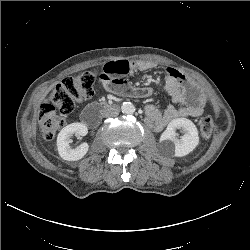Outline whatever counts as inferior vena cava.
Returning <instances> with one entry per match:
<instances>
[{"label": "inferior vena cava", "mask_w": 250, "mask_h": 250, "mask_svg": "<svg viewBox=\"0 0 250 250\" xmlns=\"http://www.w3.org/2000/svg\"><path fill=\"white\" fill-rule=\"evenodd\" d=\"M119 114V108L117 107H108L105 112H104V116L105 117H116Z\"/></svg>", "instance_id": "obj_1"}]
</instances>
